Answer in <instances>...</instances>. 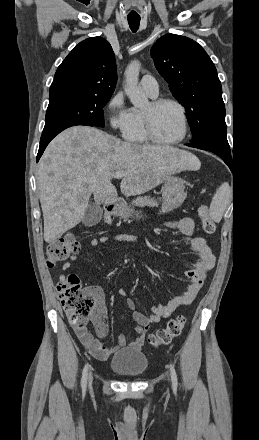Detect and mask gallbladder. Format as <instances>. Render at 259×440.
Masks as SVG:
<instances>
[{
  "instance_id": "1",
  "label": "gallbladder",
  "mask_w": 259,
  "mask_h": 440,
  "mask_svg": "<svg viewBox=\"0 0 259 440\" xmlns=\"http://www.w3.org/2000/svg\"><path fill=\"white\" fill-rule=\"evenodd\" d=\"M103 216V210L96 202L90 203L85 211L82 222L87 227H92L98 224Z\"/></svg>"
}]
</instances>
